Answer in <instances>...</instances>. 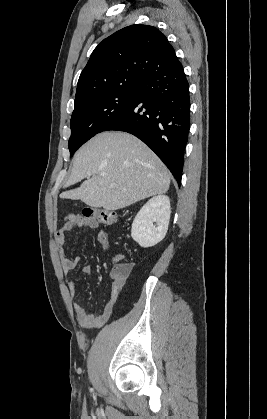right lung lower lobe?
Listing matches in <instances>:
<instances>
[{"instance_id":"1","label":"right lung lower lobe","mask_w":267,"mask_h":419,"mask_svg":"<svg viewBox=\"0 0 267 419\" xmlns=\"http://www.w3.org/2000/svg\"><path fill=\"white\" fill-rule=\"evenodd\" d=\"M190 129L189 84L179 61L149 76L123 113L103 131L131 133L169 168L179 186Z\"/></svg>"}]
</instances>
